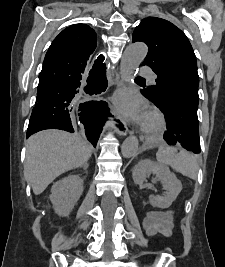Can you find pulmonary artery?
Masks as SVG:
<instances>
[{
    "instance_id": "e3ab8cb5",
    "label": "pulmonary artery",
    "mask_w": 225,
    "mask_h": 267,
    "mask_svg": "<svg viewBox=\"0 0 225 267\" xmlns=\"http://www.w3.org/2000/svg\"><path fill=\"white\" fill-rule=\"evenodd\" d=\"M141 73L146 75L147 77H149L153 82L156 79V74L154 73V71L152 69H150L149 67H144L141 70Z\"/></svg>"
}]
</instances>
